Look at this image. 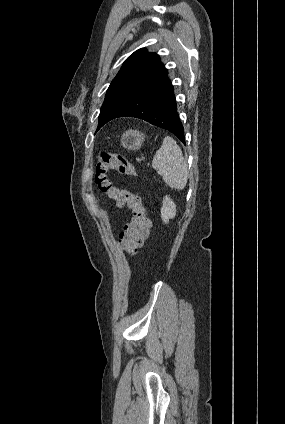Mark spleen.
Wrapping results in <instances>:
<instances>
[{
  "label": "spleen",
  "instance_id": "3e777b00",
  "mask_svg": "<svg viewBox=\"0 0 285 424\" xmlns=\"http://www.w3.org/2000/svg\"><path fill=\"white\" fill-rule=\"evenodd\" d=\"M152 167L157 170L164 182L177 190L183 189L188 180V167L182 150L170 136L164 138L160 149L152 160Z\"/></svg>",
  "mask_w": 285,
  "mask_h": 424
}]
</instances>
